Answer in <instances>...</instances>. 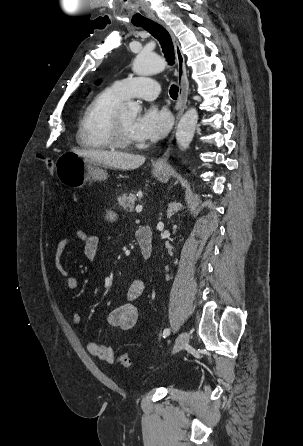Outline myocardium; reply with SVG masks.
I'll return each mask as SVG.
<instances>
[{"instance_id": "1", "label": "myocardium", "mask_w": 303, "mask_h": 446, "mask_svg": "<svg viewBox=\"0 0 303 446\" xmlns=\"http://www.w3.org/2000/svg\"><path fill=\"white\" fill-rule=\"evenodd\" d=\"M112 144L116 148L132 149L138 146L136 140L131 139L125 132L120 113L117 112L113 118L111 127Z\"/></svg>"}]
</instances>
